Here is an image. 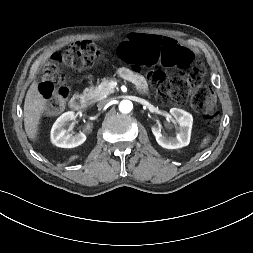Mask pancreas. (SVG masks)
Listing matches in <instances>:
<instances>
[{"mask_svg": "<svg viewBox=\"0 0 253 253\" xmlns=\"http://www.w3.org/2000/svg\"><path fill=\"white\" fill-rule=\"evenodd\" d=\"M114 79L104 78L102 82L96 87L86 88L84 94L92 101L97 102L106 98L109 94L114 92V89L109 86V83Z\"/></svg>", "mask_w": 253, "mask_h": 253, "instance_id": "1", "label": "pancreas"}]
</instances>
